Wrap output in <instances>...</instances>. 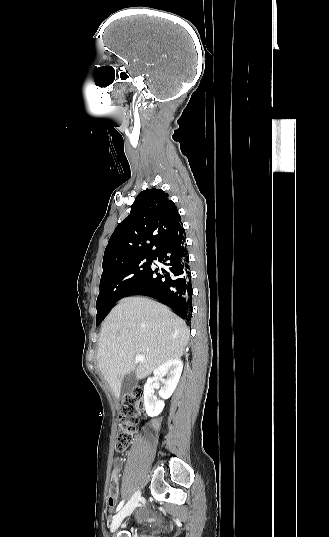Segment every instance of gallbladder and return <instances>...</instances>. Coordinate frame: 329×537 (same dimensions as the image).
<instances>
[{
  "mask_svg": "<svg viewBox=\"0 0 329 537\" xmlns=\"http://www.w3.org/2000/svg\"><path fill=\"white\" fill-rule=\"evenodd\" d=\"M137 377L135 371H131L127 373L123 378L121 382V395H127L130 394L134 388L136 387Z\"/></svg>",
  "mask_w": 329,
  "mask_h": 537,
  "instance_id": "gallbladder-1",
  "label": "gallbladder"
}]
</instances>
